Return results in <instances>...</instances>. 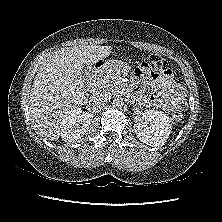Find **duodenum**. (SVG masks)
<instances>
[{"label": "duodenum", "instance_id": "duodenum-1", "mask_svg": "<svg viewBox=\"0 0 222 222\" xmlns=\"http://www.w3.org/2000/svg\"><path fill=\"white\" fill-rule=\"evenodd\" d=\"M104 74H105V71L101 66L98 67V69L93 73V75L91 76V78L89 80V88L91 91L94 92L97 89Z\"/></svg>", "mask_w": 222, "mask_h": 222}]
</instances>
